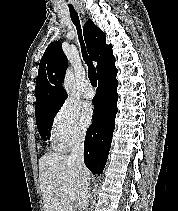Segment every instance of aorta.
Here are the masks:
<instances>
[{"mask_svg": "<svg viewBox=\"0 0 178 211\" xmlns=\"http://www.w3.org/2000/svg\"><path fill=\"white\" fill-rule=\"evenodd\" d=\"M63 85L66 92L68 94H71L72 93V74L69 70L66 73Z\"/></svg>", "mask_w": 178, "mask_h": 211, "instance_id": "obj_1", "label": "aorta"}]
</instances>
